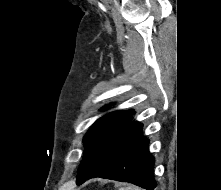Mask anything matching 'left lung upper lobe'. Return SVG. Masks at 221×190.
<instances>
[{
    "instance_id": "left-lung-upper-lobe-1",
    "label": "left lung upper lobe",
    "mask_w": 221,
    "mask_h": 190,
    "mask_svg": "<svg viewBox=\"0 0 221 190\" xmlns=\"http://www.w3.org/2000/svg\"><path fill=\"white\" fill-rule=\"evenodd\" d=\"M110 107L105 106L102 110ZM134 110L116 111L99 118L83 139L84 157L79 166L77 180L87 175L113 139L132 120Z\"/></svg>"
}]
</instances>
